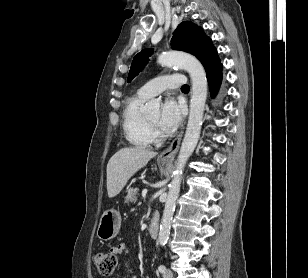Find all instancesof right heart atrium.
I'll list each match as a JSON object with an SVG mask.
<instances>
[{
    "label": "right heart atrium",
    "mask_w": 308,
    "mask_h": 278,
    "mask_svg": "<svg viewBox=\"0 0 308 278\" xmlns=\"http://www.w3.org/2000/svg\"><path fill=\"white\" fill-rule=\"evenodd\" d=\"M153 138L156 140L158 138V131L153 129Z\"/></svg>",
    "instance_id": "1"
}]
</instances>
